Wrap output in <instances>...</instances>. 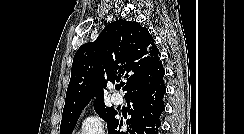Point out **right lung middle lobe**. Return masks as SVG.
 Instances as JSON below:
<instances>
[{
	"instance_id": "right-lung-middle-lobe-1",
	"label": "right lung middle lobe",
	"mask_w": 244,
	"mask_h": 134,
	"mask_svg": "<svg viewBox=\"0 0 244 134\" xmlns=\"http://www.w3.org/2000/svg\"><path fill=\"white\" fill-rule=\"evenodd\" d=\"M94 109L103 120L107 121V126L111 124V122L115 119V115L117 114V111L113 107L109 108L104 103L95 105ZM79 116L80 114L63 118L60 125V133L71 134Z\"/></svg>"
}]
</instances>
